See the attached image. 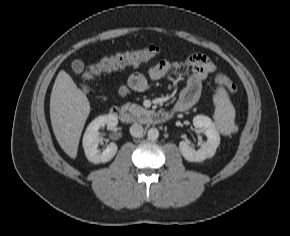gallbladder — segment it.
<instances>
[{
	"instance_id": "bac80fb5",
	"label": "gallbladder",
	"mask_w": 290,
	"mask_h": 236,
	"mask_svg": "<svg viewBox=\"0 0 290 236\" xmlns=\"http://www.w3.org/2000/svg\"><path fill=\"white\" fill-rule=\"evenodd\" d=\"M72 69L76 74H80L84 69V63L81 60H74L72 62Z\"/></svg>"
}]
</instances>
